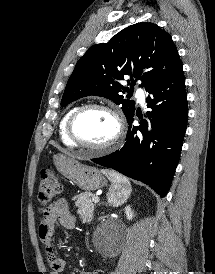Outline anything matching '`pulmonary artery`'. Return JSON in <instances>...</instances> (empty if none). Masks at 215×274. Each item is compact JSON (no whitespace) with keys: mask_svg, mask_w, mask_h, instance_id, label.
<instances>
[{"mask_svg":"<svg viewBox=\"0 0 215 274\" xmlns=\"http://www.w3.org/2000/svg\"><path fill=\"white\" fill-rule=\"evenodd\" d=\"M136 96L141 104H144L145 102V92L143 89L139 88L136 91Z\"/></svg>","mask_w":215,"mask_h":274,"instance_id":"e3ab8cb5","label":"pulmonary artery"}]
</instances>
